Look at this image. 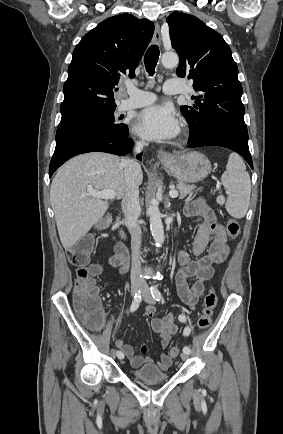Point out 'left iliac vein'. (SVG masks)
<instances>
[{
  "label": "left iliac vein",
  "mask_w": 283,
  "mask_h": 434,
  "mask_svg": "<svg viewBox=\"0 0 283 434\" xmlns=\"http://www.w3.org/2000/svg\"><path fill=\"white\" fill-rule=\"evenodd\" d=\"M140 287H141V290H142V296H143L144 301L147 302V303H149V304H154L155 301H154V299H153V297L151 295L150 289H149L146 281H144V280L141 281ZM181 359L183 361H186L188 359V354H186L184 352L181 353Z\"/></svg>",
  "instance_id": "4c4485c4"
}]
</instances>
